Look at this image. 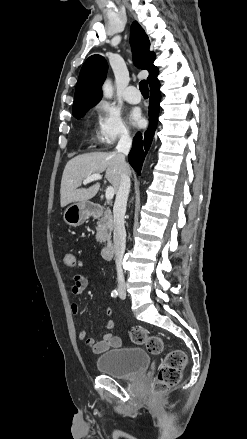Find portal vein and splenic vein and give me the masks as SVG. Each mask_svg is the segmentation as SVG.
Returning <instances> with one entry per match:
<instances>
[{"label": "portal vein and splenic vein", "mask_w": 247, "mask_h": 439, "mask_svg": "<svg viewBox=\"0 0 247 439\" xmlns=\"http://www.w3.org/2000/svg\"><path fill=\"white\" fill-rule=\"evenodd\" d=\"M100 179H102L101 174H93L87 177L85 180H83V184L86 185L92 181L100 180ZM114 193H115L114 188L112 186H108L105 191L106 199L108 201L111 200L114 197Z\"/></svg>", "instance_id": "1"}]
</instances>
